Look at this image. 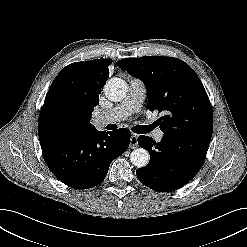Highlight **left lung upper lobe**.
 <instances>
[{
  "mask_svg": "<svg viewBox=\"0 0 247 247\" xmlns=\"http://www.w3.org/2000/svg\"><path fill=\"white\" fill-rule=\"evenodd\" d=\"M117 65L145 83L149 109L165 113L156 121L165 135L210 143L212 107L202 82L187 63L144 56L122 59Z\"/></svg>",
  "mask_w": 247,
  "mask_h": 247,
  "instance_id": "1",
  "label": "left lung upper lobe"
}]
</instances>
